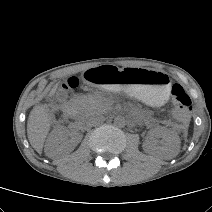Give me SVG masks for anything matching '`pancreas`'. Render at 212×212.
Masks as SVG:
<instances>
[{
	"instance_id": "1",
	"label": "pancreas",
	"mask_w": 212,
	"mask_h": 212,
	"mask_svg": "<svg viewBox=\"0 0 212 212\" xmlns=\"http://www.w3.org/2000/svg\"><path fill=\"white\" fill-rule=\"evenodd\" d=\"M74 102L83 112L99 110L104 105L101 98L87 95L77 96Z\"/></svg>"
}]
</instances>
